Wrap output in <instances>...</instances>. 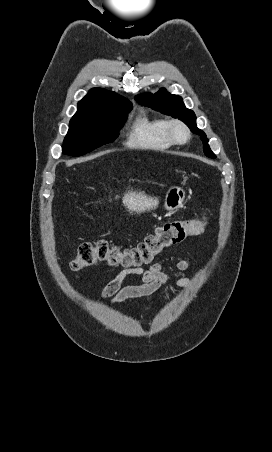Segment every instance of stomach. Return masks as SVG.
<instances>
[{"instance_id": "stomach-1", "label": "stomach", "mask_w": 272, "mask_h": 452, "mask_svg": "<svg viewBox=\"0 0 272 452\" xmlns=\"http://www.w3.org/2000/svg\"><path fill=\"white\" fill-rule=\"evenodd\" d=\"M186 192L182 187L172 186L166 195L164 208L169 212L182 208L185 202Z\"/></svg>"}]
</instances>
